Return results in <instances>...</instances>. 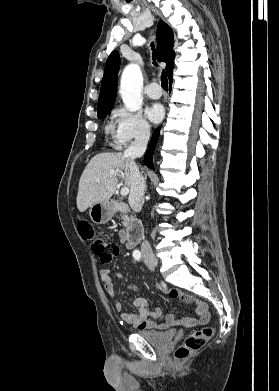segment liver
<instances>
[{"instance_id": "6515ba94", "label": "liver", "mask_w": 279, "mask_h": 391, "mask_svg": "<svg viewBox=\"0 0 279 391\" xmlns=\"http://www.w3.org/2000/svg\"><path fill=\"white\" fill-rule=\"evenodd\" d=\"M111 172L116 175L110 176ZM118 174H122L125 185L131 187L130 160L122 153H100L95 155L84 169L78 186L77 207L84 212L95 203L107 201L118 185ZM97 180L100 182L97 183Z\"/></svg>"}]
</instances>
